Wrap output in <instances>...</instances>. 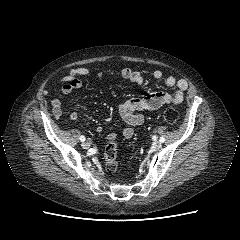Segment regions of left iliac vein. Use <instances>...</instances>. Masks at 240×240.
Returning a JSON list of instances; mask_svg holds the SVG:
<instances>
[{"instance_id":"obj_1","label":"left iliac vein","mask_w":240,"mask_h":240,"mask_svg":"<svg viewBox=\"0 0 240 240\" xmlns=\"http://www.w3.org/2000/svg\"><path fill=\"white\" fill-rule=\"evenodd\" d=\"M152 147L154 150H158L162 147V143L160 141H155L153 144H152Z\"/></svg>"}]
</instances>
